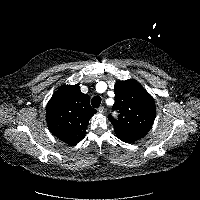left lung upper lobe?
Here are the masks:
<instances>
[{
	"label": "left lung upper lobe",
	"instance_id": "obj_1",
	"mask_svg": "<svg viewBox=\"0 0 200 200\" xmlns=\"http://www.w3.org/2000/svg\"><path fill=\"white\" fill-rule=\"evenodd\" d=\"M113 110L118 120L109 115L117 137L126 143L142 138L155 119V103L151 95L135 80L119 81L114 86Z\"/></svg>",
	"mask_w": 200,
	"mask_h": 200
}]
</instances>
